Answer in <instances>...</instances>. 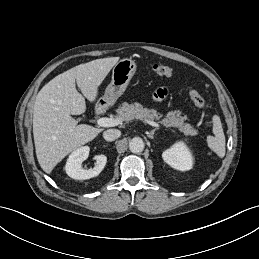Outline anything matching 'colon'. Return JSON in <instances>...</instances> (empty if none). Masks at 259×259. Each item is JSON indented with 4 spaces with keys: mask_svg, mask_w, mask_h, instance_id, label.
Returning a JSON list of instances; mask_svg holds the SVG:
<instances>
[{
    "mask_svg": "<svg viewBox=\"0 0 259 259\" xmlns=\"http://www.w3.org/2000/svg\"><path fill=\"white\" fill-rule=\"evenodd\" d=\"M153 72L161 77H170L173 75V69L171 67L160 63L153 66ZM189 97L194 105L199 109L207 108V101L198 90L191 88L189 90Z\"/></svg>",
    "mask_w": 259,
    "mask_h": 259,
    "instance_id": "1",
    "label": "colon"
}]
</instances>
